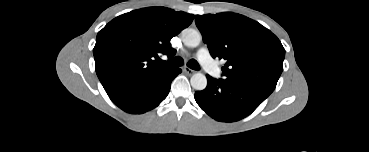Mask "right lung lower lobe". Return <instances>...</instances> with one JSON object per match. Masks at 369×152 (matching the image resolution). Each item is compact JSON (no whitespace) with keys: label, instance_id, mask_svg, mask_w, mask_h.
<instances>
[{"label":"right lung lower lobe","instance_id":"98d812e1","mask_svg":"<svg viewBox=\"0 0 369 152\" xmlns=\"http://www.w3.org/2000/svg\"><path fill=\"white\" fill-rule=\"evenodd\" d=\"M181 72L171 68L149 79L133 83L109 97L119 108L128 113L141 114L157 107L168 95L172 80Z\"/></svg>","mask_w":369,"mask_h":152}]
</instances>
